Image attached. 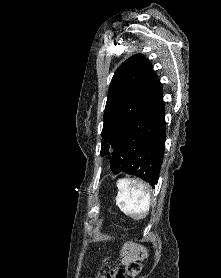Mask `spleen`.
<instances>
[{
  "mask_svg": "<svg viewBox=\"0 0 221 278\" xmlns=\"http://www.w3.org/2000/svg\"><path fill=\"white\" fill-rule=\"evenodd\" d=\"M116 205L126 215L143 219L150 209V194L146 185L134 179H120L117 182Z\"/></svg>",
  "mask_w": 221,
  "mask_h": 278,
  "instance_id": "obj_1",
  "label": "spleen"
}]
</instances>
